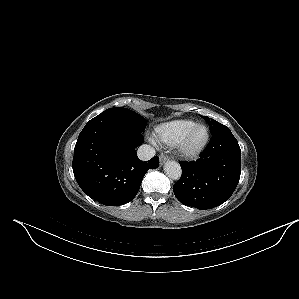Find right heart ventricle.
<instances>
[{"instance_id":"right-heart-ventricle-1","label":"right heart ventricle","mask_w":299,"mask_h":299,"mask_svg":"<svg viewBox=\"0 0 299 299\" xmlns=\"http://www.w3.org/2000/svg\"><path fill=\"white\" fill-rule=\"evenodd\" d=\"M196 125V122L188 119H179L158 125L153 132V139L161 145H176L181 138Z\"/></svg>"}]
</instances>
